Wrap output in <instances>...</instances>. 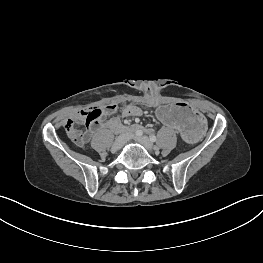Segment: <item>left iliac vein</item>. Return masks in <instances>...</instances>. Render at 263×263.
I'll return each mask as SVG.
<instances>
[{
  "instance_id": "4c4485c4",
  "label": "left iliac vein",
  "mask_w": 263,
  "mask_h": 263,
  "mask_svg": "<svg viewBox=\"0 0 263 263\" xmlns=\"http://www.w3.org/2000/svg\"><path fill=\"white\" fill-rule=\"evenodd\" d=\"M134 139L138 143L142 144L148 150L156 149L152 141L147 136H135Z\"/></svg>"
}]
</instances>
